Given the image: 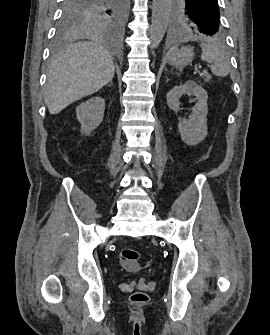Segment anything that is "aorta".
Masks as SVG:
<instances>
[{
	"label": "aorta",
	"instance_id": "762f6f07",
	"mask_svg": "<svg viewBox=\"0 0 270 335\" xmlns=\"http://www.w3.org/2000/svg\"><path fill=\"white\" fill-rule=\"evenodd\" d=\"M172 0H153L150 26L151 48H158L167 30Z\"/></svg>",
	"mask_w": 270,
	"mask_h": 335
}]
</instances>
